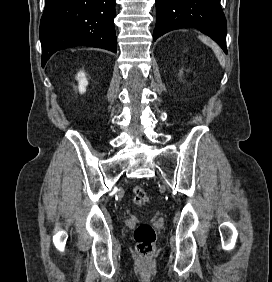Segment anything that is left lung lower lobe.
I'll return each mask as SVG.
<instances>
[{
	"instance_id": "0a47b994",
	"label": "left lung lower lobe",
	"mask_w": 272,
	"mask_h": 282,
	"mask_svg": "<svg viewBox=\"0 0 272 282\" xmlns=\"http://www.w3.org/2000/svg\"><path fill=\"white\" fill-rule=\"evenodd\" d=\"M154 41L179 28L194 27L217 42L227 54L226 19L220 0H156Z\"/></svg>"
}]
</instances>
